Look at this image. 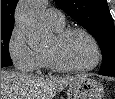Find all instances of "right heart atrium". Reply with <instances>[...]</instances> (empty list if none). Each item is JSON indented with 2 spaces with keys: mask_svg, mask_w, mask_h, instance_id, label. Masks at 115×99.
<instances>
[{
  "mask_svg": "<svg viewBox=\"0 0 115 99\" xmlns=\"http://www.w3.org/2000/svg\"><path fill=\"white\" fill-rule=\"evenodd\" d=\"M8 54L17 69L31 72L40 66V54L31 49L18 27H14L7 43Z\"/></svg>",
  "mask_w": 115,
  "mask_h": 99,
  "instance_id": "obj_1",
  "label": "right heart atrium"
}]
</instances>
